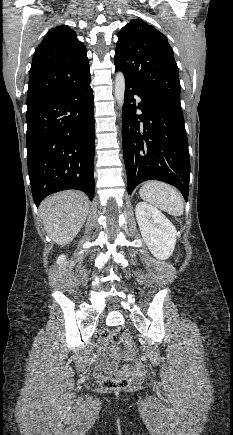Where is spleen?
I'll list each match as a JSON object with an SVG mask.
<instances>
[{
	"label": "spleen",
	"instance_id": "spleen-1",
	"mask_svg": "<svg viewBox=\"0 0 233 435\" xmlns=\"http://www.w3.org/2000/svg\"><path fill=\"white\" fill-rule=\"evenodd\" d=\"M140 197L174 216L184 212V200L173 186L159 181L146 182L139 190Z\"/></svg>",
	"mask_w": 233,
	"mask_h": 435
}]
</instances>
